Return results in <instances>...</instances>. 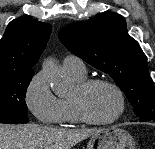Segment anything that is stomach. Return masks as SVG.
I'll use <instances>...</instances> for the list:
<instances>
[{"label": "stomach", "mask_w": 155, "mask_h": 149, "mask_svg": "<svg viewBox=\"0 0 155 149\" xmlns=\"http://www.w3.org/2000/svg\"><path fill=\"white\" fill-rule=\"evenodd\" d=\"M87 149H136L133 137L124 129L109 127L92 135Z\"/></svg>", "instance_id": "stomach-1"}]
</instances>
